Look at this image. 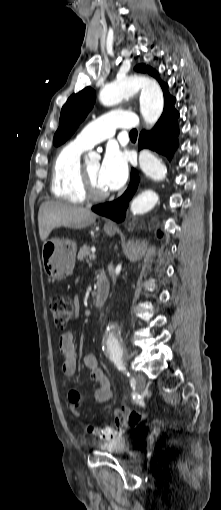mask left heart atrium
Returning <instances> with one entry per match:
<instances>
[{"label": "left heart atrium", "instance_id": "obj_1", "mask_svg": "<svg viewBox=\"0 0 221 510\" xmlns=\"http://www.w3.org/2000/svg\"><path fill=\"white\" fill-rule=\"evenodd\" d=\"M128 176L126 155L116 145L110 144L99 170V181L106 191L119 189Z\"/></svg>", "mask_w": 221, "mask_h": 510}]
</instances>
